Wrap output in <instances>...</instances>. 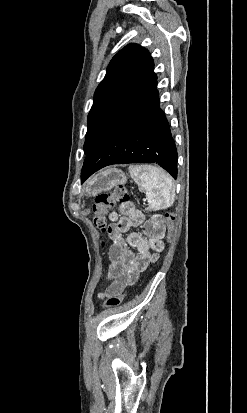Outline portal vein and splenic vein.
Wrapping results in <instances>:
<instances>
[{"mask_svg": "<svg viewBox=\"0 0 247 413\" xmlns=\"http://www.w3.org/2000/svg\"><path fill=\"white\" fill-rule=\"evenodd\" d=\"M142 201H143V202H146V201H147V198H146V197H143V198H142Z\"/></svg>", "mask_w": 247, "mask_h": 413, "instance_id": "18ae733b", "label": "portal vein and splenic vein"}]
</instances>
